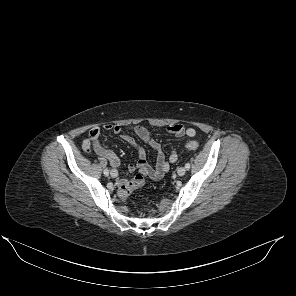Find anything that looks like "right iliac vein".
<instances>
[{"label":"right iliac vein","instance_id":"63e3f726","mask_svg":"<svg viewBox=\"0 0 296 296\" xmlns=\"http://www.w3.org/2000/svg\"><path fill=\"white\" fill-rule=\"evenodd\" d=\"M110 175H111V177H113V178L117 177V176H118V172H117V170H112V171L110 172Z\"/></svg>","mask_w":296,"mask_h":296}]
</instances>
